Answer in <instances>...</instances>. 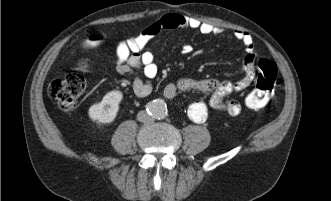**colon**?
Masks as SVG:
<instances>
[{
  "label": "colon",
  "instance_id": "obj_1",
  "mask_svg": "<svg viewBox=\"0 0 331 201\" xmlns=\"http://www.w3.org/2000/svg\"><path fill=\"white\" fill-rule=\"evenodd\" d=\"M102 42L99 36L88 39V43L96 46ZM86 61H81L75 69L70 71L65 77L52 81L48 92L58 105L64 110L74 109L83 94L86 81L83 71L86 69ZM277 66L267 58L258 61V76L254 90L245 99V105L250 109H260L271 100L277 82Z\"/></svg>",
  "mask_w": 331,
  "mask_h": 201
}]
</instances>
